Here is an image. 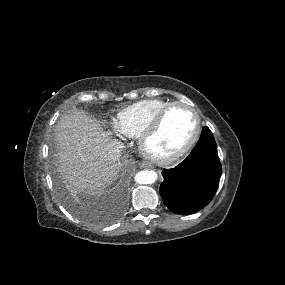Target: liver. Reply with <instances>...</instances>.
Listing matches in <instances>:
<instances>
[{
	"label": "liver",
	"instance_id": "obj_1",
	"mask_svg": "<svg viewBox=\"0 0 285 285\" xmlns=\"http://www.w3.org/2000/svg\"><path fill=\"white\" fill-rule=\"evenodd\" d=\"M55 142L60 172L73 189L101 191L117 177L119 165L110 157L108 133L84 112L61 117Z\"/></svg>",
	"mask_w": 285,
	"mask_h": 285
}]
</instances>
